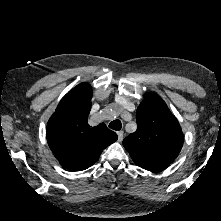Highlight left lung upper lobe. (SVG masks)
<instances>
[{
	"mask_svg": "<svg viewBox=\"0 0 221 221\" xmlns=\"http://www.w3.org/2000/svg\"><path fill=\"white\" fill-rule=\"evenodd\" d=\"M137 130L123 140L135 164L148 171L167 167L178 156L182 144L181 127L166 103L149 93L136 112Z\"/></svg>",
	"mask_w": 221,
	"mask_h": 221,
	"instance_id": "obj_1",
	"label": "left lung upper lobe"
}]
</instances>
